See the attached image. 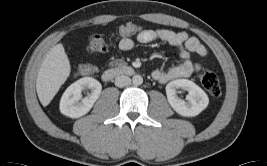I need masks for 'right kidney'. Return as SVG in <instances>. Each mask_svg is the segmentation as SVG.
I'll return each mask as SVG.
<instances>
[{"instance_id": "ca27d5eb", "label": "right kidney", "mask_w": 267, "mask_h": 166, "mask_svg": "<svg viewBox=\"0 0 267 166\" xmlns=\"http://www.w3.org/2000/svg\"><path fill=\"white\" fill-rule=\"evenodd\" d=\"M90 89L91 93L82 98V91ZM102 90L99 81L92 77H83L71 84L60 100V111L70 118H79L93 107Z\"/></svg>"}]
</instances>
